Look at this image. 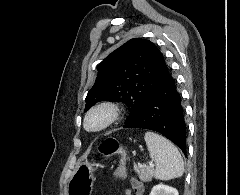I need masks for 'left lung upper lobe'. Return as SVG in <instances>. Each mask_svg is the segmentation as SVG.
Returning a JSON list of instances; mask_svg holds the SVG:
<instances>
[{
  "label": "left lung upper lobe",
  "mask_w": 240,
  "mask_h": 195,
  "mask_svg": "<svg viewBox=\"0 0 240 195\" xmlns=\"http://www.w3.org/2000/svg\"><path fill=\"white\" fill-rule=\"evenodd\" d=\"M169 74L162 53L149 40L134 38L107 56L86 97L87 111L99 101L128 106L130 121Z\"/></svg>",
  "instance_id": "1"
}]
</instances>
